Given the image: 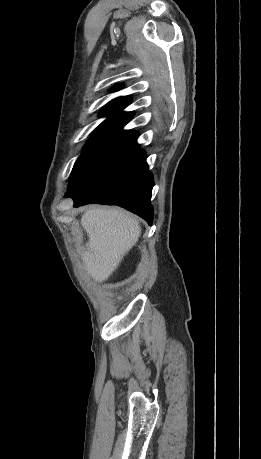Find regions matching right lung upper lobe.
Returning a JSON list of instances; mask_svg holds the SVG:
<instances>
[{
	"label": "right lung upper lobe",
	"instance_id": "cb5924a9",
	"mask_svg": "<svg viewBox=\"0 0 261 459\" xmlns=\"http://www.w3.org/2000/svg\"><path fill=\"white\" fill-rule=\"evenodd\" d=\"M114 90H118V86ZM129 102L130 99L128 97H118L107 103L101 110L100 115L108 118L93 133L108 128L123 127L133 117L132 112L122 111Z\"/></svg>",
	"mask_w": 261,
	"mask_h": 459
}]
</instances>
